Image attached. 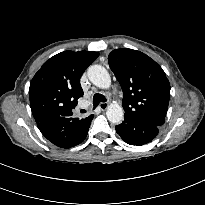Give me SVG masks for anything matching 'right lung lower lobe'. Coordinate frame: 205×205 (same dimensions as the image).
Masks as SVG:
<instances>
[{"mask_svg":"<svg viewBox=\"0 0 205 205\" xmlns=\"http://www.w3.org/2000/svg\"><path fill=\"white\" fill-rule=\"evenodd\" d=\"M92 118L93 115H90L82 129L72 137L66 133V124L70 119L67 117L51 116L37 123V126L50 142L61 148H70L78 145L86 138Z\"/></svg>","mask_w":205,"mask_h":205,"instance_id":"1","label":"right lung lower lobe"}]
</instances>
